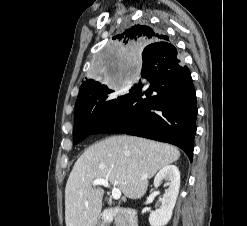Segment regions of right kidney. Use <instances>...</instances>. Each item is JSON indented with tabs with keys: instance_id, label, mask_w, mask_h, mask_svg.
<instances>
[{
	"instance_id": "ca27d5eb",
	"label": "right kidney",
	"mask_w": 247,
	"mask_h": 226,
	"mask_svg": "<svg viewBox=\"0 0 247 226\" xmlns=\"http://www.w3.org/2000/svg\"><path fill=\"white\" fill-rule=\"evenodd\" d=\"M168 181V189L161 199L160 209L151 212L149 223L151 226H165L172 217L180 188V172L175 165H167L160 169L154 178V186L158 187L162 180Z\"/></svg>"
}]
</instances>
